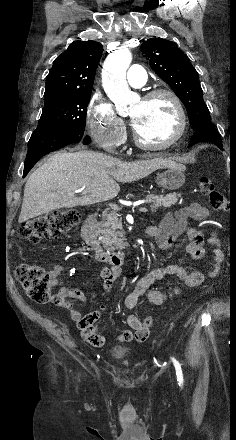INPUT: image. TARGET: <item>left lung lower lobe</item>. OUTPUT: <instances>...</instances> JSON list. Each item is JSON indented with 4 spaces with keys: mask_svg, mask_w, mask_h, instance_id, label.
<instances>
[{
    "mask_svg": "<svg viewBox=\"0 0 236 440\" xmlns=\"http://www.w3.org/2000/svg\"><path fill=\"white\" fill-rule=\"evenodd\" d=\"M199 142H210L223 150L220 134L212 123H208L196 130L189 146Z\"/></svg>",
    "mask_w": 236,
    "mask_h": 440,
    "instance_id": "0a47b994",
    "label": "left lung lower lobe"
}]
</instances>
